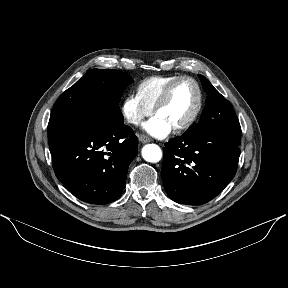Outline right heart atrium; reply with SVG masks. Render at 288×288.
Listing matches in <instances>:
<instances>
[{
  "label": "right heart atrium",
  "mask_w": 288,
  "mask_h": 288,
  "mask_svg": "<svg viewBox=\"0 0 288 288\" xmlns=\"http://www.w3.org/2000/svg\"><path fill=\"white\" fill-rule=\"evenodd\" d=\"M121 111L128 123L139 125L151 115L152 108L142 103L136 95L129 94L122 101Z\"/></svg>",
  "instance_id": "1"
}]
</instances>
